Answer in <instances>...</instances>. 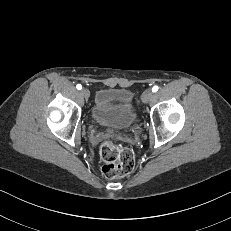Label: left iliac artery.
<instances>
[{
	"label": "left iliac artery",
	"instance_id": "44dca946",
	"mask_svg": "<svg viewBox=\"0 0 231 231\" xmlns=\"http://www.w3.org/2000/svg\"><path fill=\"white\" fill-rule=\"evenodd\" d=\"M158 89H159V87H158V86H154V87L152 88V92H157V91H158Z\"/></svg>",
	"mask_w": 231,
	"mask_h": 231
}]
</instances>
